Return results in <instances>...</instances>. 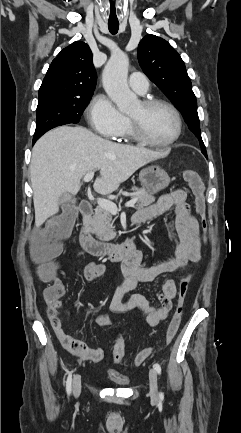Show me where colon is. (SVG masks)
<instances>
[{
  "label": "colon",
  "instance_id": "colon-1",
  "mask_svg": "<svg viewBox=\"0 0 241 433\" xmlns=\"http://www.w3.org/2000/svg\"><path fill=\"white\" fill-rule=\"evenodd\" d=\"M184 175L190 184V188L194 194L196 212L204 218L205 198L204 186L198 174L194 170H185ZM60 215L53 218L49 225L38 234L31 244V256L35 262L40 265L39 274L44 281H51L55 276V268L50 265L52 259L60 252L62 240L66 238L71 231L73 223V214H79V205H60ZM190 275L185 274L179 286V301L177 309L171 318L167 330L165 340L170 343L180 327L184 301L188 291ZM53 286V285H52ZM49 287L44 295L46 299H53L59 293V288ZM125 356V341L119 336L113 348L114 361L119 363ZM151 356V350L144 349L136 354L133 359V365L139 366Z\"/></svg>",
  "mask_w": 241,
  "mask_h": 433
}]
</instances>
